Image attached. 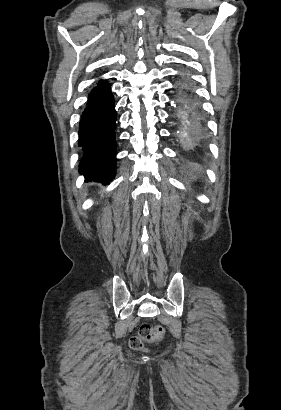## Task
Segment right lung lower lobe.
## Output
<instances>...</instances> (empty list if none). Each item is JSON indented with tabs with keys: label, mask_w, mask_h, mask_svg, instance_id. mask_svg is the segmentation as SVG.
Segmentation results:
<instances>
[{
	"label": "right lung lower lobe",
	"mask_w": 281,
	"mask_h": 410,
	"mask_svg": "<svg viewBox=\"0 0 281 410\" xmlns=\"http://www.w3.org/2000/svg\"><path fill=\"white\" fill-rule=\"evenodd\" d=\"M116 117L110 86L102 82L89 94L80 120L78 145L83 156L79 173L86 181L109 183L116 174Z\"/></svg>",
	"instance_id": "obj_1"
}]
</instances>
